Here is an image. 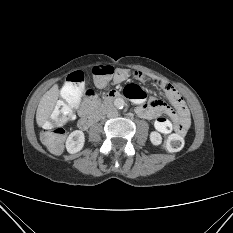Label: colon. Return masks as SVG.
<instances>
[{
	"label": "colon",
	"instance_id": "1",
	"mask_svg": "<svg viewBox=\"0 0 233 233\" xmlns=\"http://www.w3.org/2000/svg\"><path fill=\"white\" fill-rule=\"evenodd\" d=\"M115 70L109 65H98L92 69L94 83L97 87L105 86ZM90 101H96V93L90 87H85V76L81 71H74L68 75L61 88L60 99L50 118L45 122L41 134L42 142L53 153H59L64 145L67 129L65 124L71 119L73 109L77 106L81 95ZM164 146L171 152H177L184 146L180 135L172 134L164 141Z\"/></svg>",
	"mask_w": 233,
	"mask_h": 233
}]
</instances>
